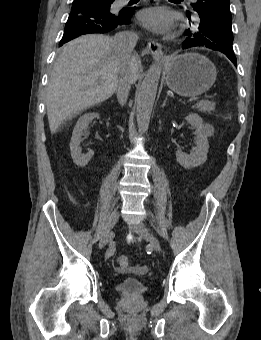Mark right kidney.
<instances>
[{
	"label": "right kidney",
	"mask_w": 261,
	"mask_h": 340,
	"mask_svg": "<svg viewBox=\"0 0 261 340\" xmlns=\"http://www.w3.org/2000/svg\"><path fill=\"white\" fill-rule=\"evenodd\" d=\"M98 117L99 114L97 113H86L79 118L74 127L72 138L70 141V151L73 162L79 167L86 166L94 155V152L92 150L86 154H82L80 149V143L82 141L81 136L84 134V131L88 128L89 123L94 118Z\"/></svg>",
	"instance_id": "right-kidney-1"
}]
</instances>
